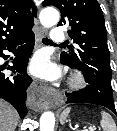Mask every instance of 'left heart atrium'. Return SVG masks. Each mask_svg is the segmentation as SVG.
<instances>
[{"label": "left heart atrium", "mask_w": 117, "mask_h": 131, "mask_svg": "<svg viewBox=\"0 0 117 131\" xmlns=\"http://www.w3.org/2000/svg\"><path fill=\"white\" fill-rule=\"evenodd\" d=\"M30 70L34 75L47 80H53L59 75L58 68L49 61V58L45 54L35 56Z\"/></svg>", "instance_id": "left-heart-atrium-1"}]
</instances>
